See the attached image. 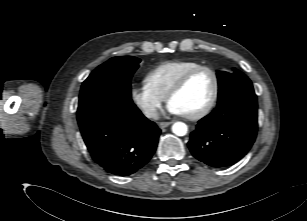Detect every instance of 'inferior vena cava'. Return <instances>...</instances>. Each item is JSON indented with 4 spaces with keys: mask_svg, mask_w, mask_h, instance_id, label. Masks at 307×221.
<instances>
[{
    "mask_svg": "<svg viewBox=\"0 0 307 221\" xmlns=\"http://www.w3.org/2000/svg\"><path fill=\"white\" fill-rule=\"evenodd\" d=\"M145 115L148 118H153V119H157L158 118V113H157V111H156V109L154 107L147 109L145 111Z\"/></svg>",
    "mask_w": 307,
    "mask_h": 221,
    "instance_id": "inferior-vena-cava-1",
    "label": "inferior vena cava"
}]
</instances>
